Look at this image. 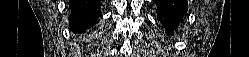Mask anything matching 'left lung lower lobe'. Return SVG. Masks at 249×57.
Masks as SVG:
<instances>
[{
	"label": "left lung lower lobe",
	"instance_id": "left-lung-lower-lobe-1",
	"mask_svg": "<svg viewBox=\"0 0 249 57\" xmlns=\"http://www.w3.org/2000/svg\"><path fill=\"white\" fill-rule=\"evenodd\" d=\"M157 6V18L163 22L167 34H174L175 26L182 21L188 9L187 0H153Z\"/></svg>",
	"mask_w": 249,
	"mask_h": 57
}]
</instances>
